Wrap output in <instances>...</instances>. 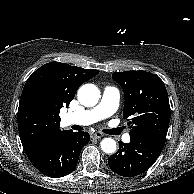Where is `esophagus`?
<instances>
[{"instance_id": "obj_1", "label": "esophagus", "mask_w": 194, "mask_h": 194, "mask_svg": "<svg viewBox=\"0 0 194 194\" xmlns=\"http://www.w3.org/2000/svg\"><path fill=\"white\" fill-rule=\"evenodd\" d=\"M103 136H104V134L101 133V132H95V133L92 134V137L96 138V139L101 138Z\"/></svg>"}]
</instances>
